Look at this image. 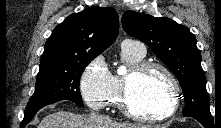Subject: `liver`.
<instances>
[{"mask_svg": "<svg viewBox=\"0 0 221 128\" xmlns=\"http://www.w3.org/2000/svg\"><path fill=\"white\" fill-rule=\"evenodd\" d=\"M165 125H142L130 123H117L110 118L90 113L78 115L68 111H58L47 115L39 123L38 128H167Z\"/></svg>", "mask_w": 221, "mask_h": 128, "instance_id": "6515ba94", "label": "liver"}]
</instances>
